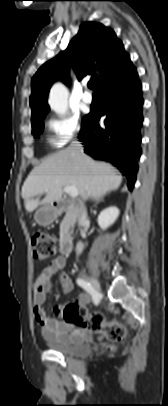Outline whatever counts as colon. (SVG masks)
Returning <instances> with one entry per match:
<instances>
[{
	"label": "colon",
	"instance_id": "obj_1",
	"mask_svg": "<svg viewBox=\"0 0 168 406\" xmlns=\"http://www.w3.org/2000/svg\"><path fill=\"white\" fill-rule=\"evenodd\" d=\"M33 256L36 260L44 261L56 255L59 249L58 240L46 232H34L30 238ZM64 319L68 322L78 318L86 330L104 335L109 341L117 342L125 338L127 330L118 321H107L100 312H78V309L68 305L64 309Z\"/></svg>",
	"mask_w": 168,
	"mask_h": 406
}]
</instances>
